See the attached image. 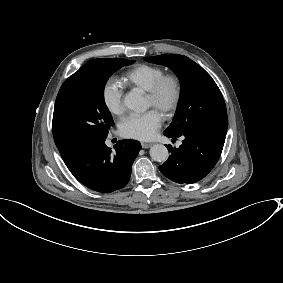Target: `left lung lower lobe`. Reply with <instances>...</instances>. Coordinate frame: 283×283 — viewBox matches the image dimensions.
<instances>
[{
	"label": "left lung lower lobe",
	"mask_w": 283,
	"mask_h": 283,
	"mask_svg": "<svg viewBox=\"0 0 283 283\" xmlns=\"http://www.w3.org/2000/svg\"><path fill=\"white\" fill-rule=\"evenodd\" d=\"M179 148L166 145L171 155L159 166L168 179L191 184L204 178L215 166L222 152L226 132H185Z\"/></svg>",
	"instance_id": "1"
}]
</instances>
